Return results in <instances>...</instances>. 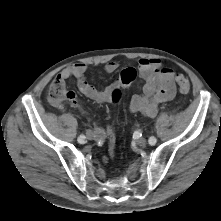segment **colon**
Returning <instances> with one entry per match:
<instances>
[{"mask_svg":"<svg viewBox=\"0 0 221 221\" xmlns=\"http://www.w3.org/2000/svg\"><path fill=\"white\" fill-rule=\"evenodd\" d=\"M176 82L179 87V90L182 93H188L190 91V82L188 77L185 74H178L176 76ZM129 80H125L122 82L123 85H128ZM113 102L117 103L121 99V91L120 88H115L112 92ZM48 100L52 104H61L64 101L69 102H77L76 95L72 91H67L65 88V84L61 81L55 80L49 87L48 90ZM115 127L114 124L111 123L108 129V143H109V151L114 154L115 151Z\"/></svg>","mask_w":221,"mask_h":221,"instance_id":"5ec220e1","label":"colon"}]
</instances>
